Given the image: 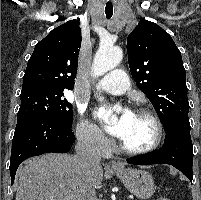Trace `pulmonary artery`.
<instances>
[{
    "label": "pulmonary artery",
    "instance_id": "obj_1",
    "mask_svg": "<svg viewBox=\"0 0 201 200\" xmlns=\"http://www.w3.org/2000/svg\"><path fill=\"white\" fill-rule=\"evenodd\" d=\"M97 87L105 92L121 95L130 88V82L125 72L117 69L107 73Z\"/></svg>",
    "mask_w": 201,
    "mask_h": 200
}]
</instances>
